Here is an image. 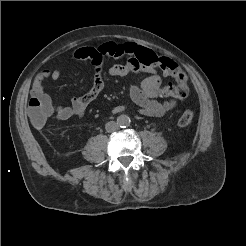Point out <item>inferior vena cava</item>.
<instances>
[{
	"label": "inferior vena cava",
	"mask_w": 246,
	"mask_h": 246,
	"mask_svg": "<svg viewBox=\"0 0 246 246\" xmlns=\"http://www.w3.org/2000/svg\"><path fill=\"white\" fill-rule=\"evenodd\" d=\"M118 127V123H116L115 121H110L105 125V129L107 132H114L118 130Z\"/></svg>",
	"instance_id": "1"
}]
</instances>
